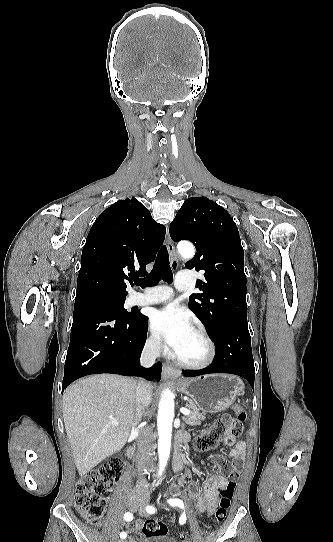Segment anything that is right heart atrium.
<instances>
[{
	"label": "right heart atrium",
	"mask_w": 333,
	"mask_h": 542,
	"mask_svg": "<svg viewBox=\"0 0 333 542\" xmlns=\"http://www.w3.org/2000/svg\"><path fill=\"white\" fill-rule=\"evenodd\" d=\"M146 348L151 354L156 355V356L163 354L165 351V347L161 339L155 333L152 327L149 328V331L146 337Z\"/></svg>",
	"instance_id": "1"
}]
</instances>
